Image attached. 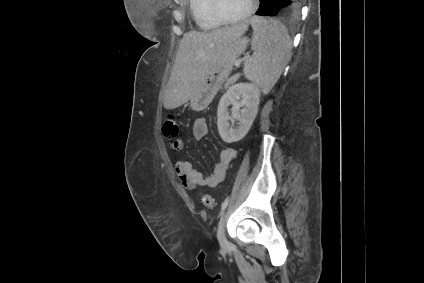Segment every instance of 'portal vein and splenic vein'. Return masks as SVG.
<instances>
[{"mask_svg": "<svg viewBox=\"0 0 424 283\" xmlns=\"http://www.w3.org/2000/svg\"><path fill=\"white\" fill-rule=\"evenodd\" d=\"M235 66H236V67H239V66H240V60H237V61L235 62Z\"/></svg>", "mask_w": 424, "mask_h": 283, "instance_id": "obj_1", "label": "portal vein and splenic vein"}]
</instances>
